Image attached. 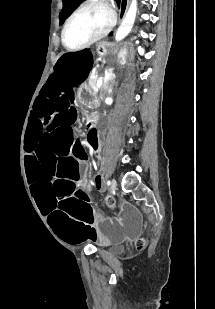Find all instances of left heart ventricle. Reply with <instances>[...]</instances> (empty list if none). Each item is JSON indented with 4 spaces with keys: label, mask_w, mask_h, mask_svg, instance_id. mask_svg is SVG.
<instances>
[{
    "label": "left heart ventricle",
    "mask_w": 215,
    "mask_h": 309,
    "mask_svg": "<svg viewBox=\"0 0 215 309\" xmlns=\"http://www.w3.org/2000/svg\"><path fill=\"white\" fill-rule=\"evenodd\" d=\"M106 20L99 10H88L79 14L70 24L66 33L69 46H78L91 39L94 29H101Z\"/></svg>",
    "instance_id": "obj_1"
}]
</instances>
